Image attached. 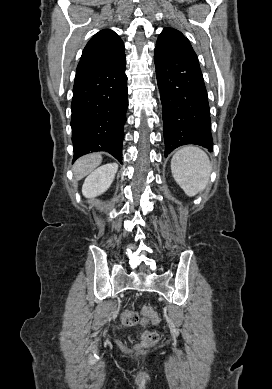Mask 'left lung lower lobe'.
Returning <instances> with one entry per match:
<instances>
[{
  "label": "left lung lower lobe",
  "mask_w": 272,
  "mask_h": 389,
  "mask_svg": "<svg viewBox=\"0 0 272 389\" xmlns=\"http://www.w3.org/2000/svg\"><path fill=\"white\" fill-rule=\"evenodd\" d=\"M154 62L163 103L165 156L186 144L201 145L211 152L209 103L198 60L155 48Z\"/></svg>",
  "instance_id": "0a47b994"
}]
</instances>
